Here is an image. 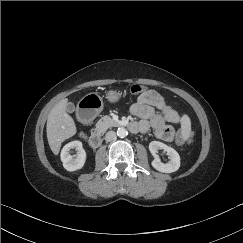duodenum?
I'll list each match as a JSON object with an SVG mask.
<instances>
[{
  "instance_id": "1",
  "label": "duodenum",
  "mask_w": 243,
  "mask_h": 243,
  "mask_svg": "<svg viewBox=\"0 0 243 243\" xmlns=\"http://www.w3.org/2000/svg\"><path fill=\"white\" fill-rule=\"evenodd\" d=\"M123 125L127 126L131 131H136L138 129V126L136 124H133V123H126V124H123ZM89 143H90L91 147H93V148H97L101 145L102 136H101L99 131L94 130L92 132V134L90 135V138H89Z\"/></svg>"
}]
</instances>
